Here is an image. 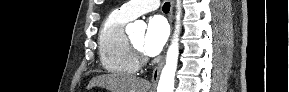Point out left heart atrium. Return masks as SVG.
<instances>
[{"label": "left heart atrium", "mask_w": 289, "mask_h": 92, "mask_svg": "<svg viewBox=\"0 0 289 92\" xmlns=\"http://www.w3.org/2000/svg\"><path fill=\"white\" fill-rule=\"evenodd\" d=\"M169 34L166 21L161 16L149 19L142 49L148 56L158 55L165 45Z\"/></svg>", "instance_id": "39dd6f15"}]
</instances>
